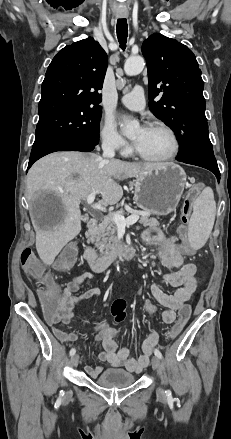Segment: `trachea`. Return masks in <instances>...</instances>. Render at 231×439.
Listing matches in <instances>:
<instances>
[{
	"label": "trachea",
	"mask_w": 231,
	"mask_h": 439,
	"mask_svg": "<svg viewBox=\"0 0 231 439\" xmlns=\"http://www.w3.org/2000/svg\"><path fill=\"white\" fill-rule=\"evenodd\" d=\"M117 38L120 44V48L125 50L127 43V35H128V24L125 18L117 20Z\"/></svg>",
	"instance_id": "3493384b"
}]
</instances>
